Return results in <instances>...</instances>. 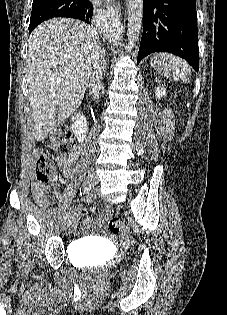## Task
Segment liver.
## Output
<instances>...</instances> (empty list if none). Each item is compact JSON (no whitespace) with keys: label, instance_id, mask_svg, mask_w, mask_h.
Segmentation results:
<instances>
[{"label":"liver","instance_id":"1","mask_svg":"<svg viewBox=\"0 0 227 315\" xmlns=\"http://www.w3.org/2000/svg\"><path fill=\"white\" fill-rule=\"evenodd\" d=\"M101 51L98 31L78 20L51 19L32 32L26 78L36 141L81 105Z\"/></svg>","mask_w":227,"mask_h":315}]
</instances>
